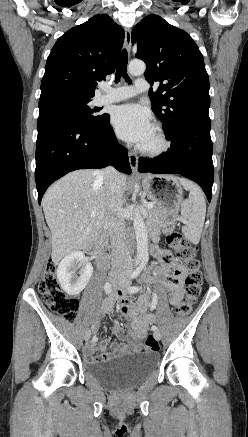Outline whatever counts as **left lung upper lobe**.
<instances>
[{"mask_svg": "<svg viewBox=\"0 0 248 437\" xmlns=\"http://www.w3.org/2000/svg\"><path fill=\"white\" fill-rule=\"evenodd\" d=\"M136 57L146 63L145 78L151 85L152 110L164 124L165 135L181 123L209 118V78L203 55L188 33L157 15L141 20L132 31Z\"/></svg>", "mask_w": 248, "mask_h": 437, "instance_id": "obj_1", "label": "left lung upper lobe"}]
</instances>
